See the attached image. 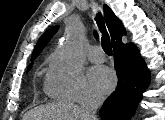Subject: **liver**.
I'll return each instance as SVG.
<instances>
[{
    "mask_svg": "<svg viewBox=\"0 0 165 120\" xmlns=\"http://www.w3.org/2000/svg\"><path fill=\"white\" fill-rule=\"evenodd\" d=\"M81 113L73 103H56L31 110L23 120H81Z\"/></svg>",
    "mask_w": 165,
    "mask_h": 120,
    "instance_id": "1",
    "label": "liver"
}]
</instances>
